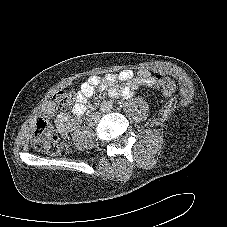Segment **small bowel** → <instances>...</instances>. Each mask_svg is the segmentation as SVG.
I'll return each instance as SVG.
<instances>
[{"label":"small bowel","mask_w":227,"mask_h":227,"mask_svg":"<svg viewBox=\"0 0 227 227\" xmlns=\"http://www.w3.org/2000/svg\"><path fill=\"white\" fill-rule=\"evenodd\" d=\"M156 79L150 71L141 69L135 76L132 70H122L116 74L110 73L105 76L91 75L79 87L75 94V101L72 106V113L74 118L69 114L61 112L54 120L56 129L61 135H67L74 131L81 121V117L85 114L87 109V101L93 96L96 89L107 90L108 94L113 97L132 96L133 91L141 86H151ZM117 82L126 83L121 89L115 85Z\"/></svg>","instance_id":"1"}]
</instances>
